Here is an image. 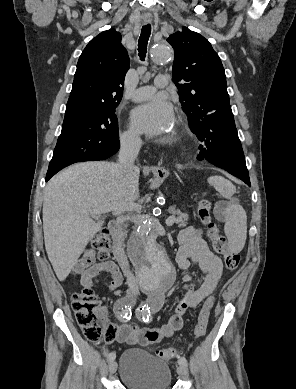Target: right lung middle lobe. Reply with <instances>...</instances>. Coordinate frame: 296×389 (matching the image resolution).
Segmentation results:
<instances>
[{
    "instance_id": "right-lung-middle-lobe-1",
    "label": "right lung middle lobe",
    "mask_w": 296,
    "mask_h": 389,
    "mask_svg": "<svg viewBox=\"0 0 296 389\" xmlns=\"http://www.w3.org/2000/svg\"><path fill=\"white\" fill-rule=\"evenodd\" d=\"M114 107L64 118L50 168L76 162L103 160L119 147L118 121Z\"/></svg>"
}]
</instances>
